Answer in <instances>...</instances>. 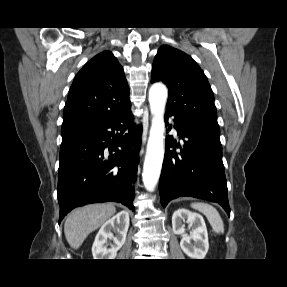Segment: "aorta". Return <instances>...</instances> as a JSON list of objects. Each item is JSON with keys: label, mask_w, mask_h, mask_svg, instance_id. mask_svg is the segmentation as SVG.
<instances>
[{"label": "aorta", "mask_w": 287, "mask_h": 287, "mask_svg": "<svg viewBox=\"0 0 287 287\" xmlns=\"http://www.w3.org/2000/svg\"><path fill=\"white\" fill-rule=\"evenodd\" d=\"M167 96V88L161 83H155L149 89L152 123L142 173V180L148 191L154 190L161 173L164 158V111Z\"/></svg>", "instance_id": "obj_1"}]
</instances>
